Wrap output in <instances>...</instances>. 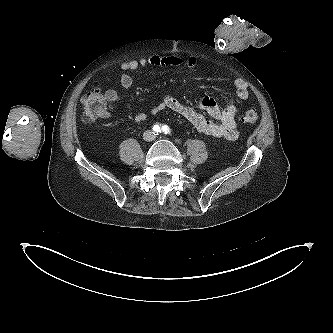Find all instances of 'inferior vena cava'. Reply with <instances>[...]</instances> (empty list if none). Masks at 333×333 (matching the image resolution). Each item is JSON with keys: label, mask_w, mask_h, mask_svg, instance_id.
I'll use <instances>...</instances> for the list:
<instances>
[{"label": "inferior vena cava", "mask_w": 333, "mask_h": 333, "mask_svg": "<svg viewBox=\"0 0 333 333\" xmlns=\"http://www.w3.org/2000/svg\"><path fill=\"white\" fill-rule=\"evenodd\" d=\"M145 140H152L154 138L153 132L146 131L143 134Z\"/></svg>", "instance_id": "obj_1"}]
</instances>
